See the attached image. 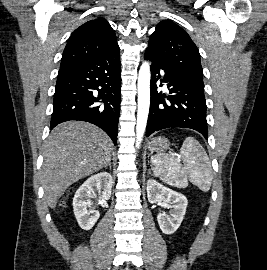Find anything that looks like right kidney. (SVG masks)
<instances>
[{"label":"right kidney","mask_w":267,"mask_h":270,"mask_svg":"<svg viewBox=\"0 0 267 270\" xmlns=\"http://www.w3.org/2000/svg\"><path fill=\"white\" fill-rule=\"evenodd\" d=\"M113 179L111 174L101 172L89 177L76 191L73 198V211L79 226L83 230H90L100 217L98 211L91 207V198L99 192V201L109 200L111 197Z\"/></svg>","instance_id":"ca27d5eb"}]
</instances>
